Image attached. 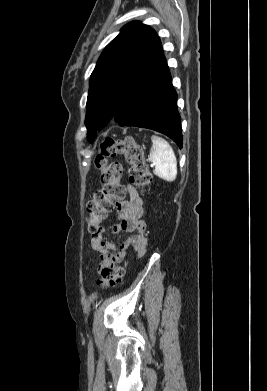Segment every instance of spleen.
I'll return each instance as SVG.
<instances>
[{"mask_svg":"<svg viewBox=\"0 0 267 391\" xmlns=\"http://www.w3.org/2000/svg\"><path fill=\"white\" fill-rule=\"evenodd\" d=\"M150 160L155 165L154 173L167 182L177 176V160L170 144L159 136L151 137Z\"/></svg>","mask_w":267,"mask_h":391,"instance_id":"3e777b00","label":"spleen"}]
</instances>
